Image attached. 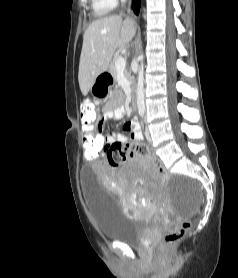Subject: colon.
<instances>
[{"instance_id":"colon-1","label":"colon","mask_w":238,"mask_h":278,"mask_svg":"<svg viewBox=\"0 0 238 278\" xmlns=\"http://www.w3.org/2000/svg\"><path fill=\"white\" fill-rule=\"evenodd\" d=\"M102 119L103 115L98 111L92 100L87 99L83 101L81 104L80 130H84L82 131V136H84L83 158L86 159L87 162H96L97 159H100L99 153L103 152V137L94 134V127L102 125ZM98 133H103L102 126L98 127ZM106 155L108 162L113 166L119 165L127 159L137 158L154 167L163 182L169 180L170 175L162 162L152 156L150 150L145 145L130 143L123 146L119 143H113L106 147ZM190 225L188 219H182L177 227L165 235L162 248L169 249L179 242L189 229Z\"/></svg>"}]
</instances>
